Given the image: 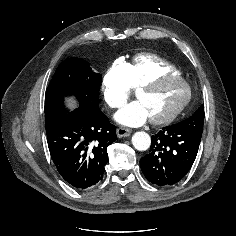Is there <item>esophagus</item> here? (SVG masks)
I'll use <instances>...</instances> for the list:
<instances>
[{
	"label": "esophagus",
	"mask_w": 236,
	"mask_h": 236,
	"mask_svg": "<svg viewBox=\"0 0 236 236\" xmlns=\"http://www.w3.org/2000/svg\"><path fill=\"white\" fill-rule=\"evenodd\" d=\"M119 138L127 137L131 134V130L125 127H120L116 131Z\"/></svg>",
	"instance_id": "34e87169"
}]
</instances>
